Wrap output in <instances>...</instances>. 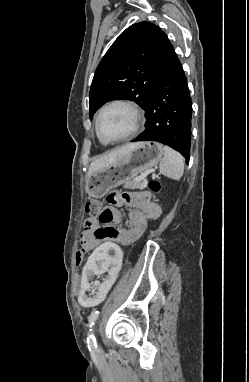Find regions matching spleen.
<instances>
[{
  "label": "spleen",
  "mask_w": 249,
  "mask_h": 382,
  "mask_svg": "<svg viewBox=\"0 0 249 382\" xmlns=\"http://www.w3.org/2000/svg\"><path fill=\"white\" fill-rule=\"evenodd\" d=\"M164 157L160 162V172L171 179L179 180L184 172V158L174 149L164 146Z\"/></svg>",
  "instance_id": "3e777b00"
}]
</instances>
